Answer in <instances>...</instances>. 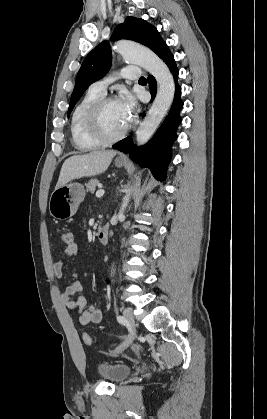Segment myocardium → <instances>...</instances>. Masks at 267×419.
<instances>
[{"mask_svg":"<svg viewBox=\"0 0 267 419\" xmlns=\"http://www.w3.org/2000/svg\"><path fill=\"white\" fill-rule=\"evenodd\" d=\"M115 101H118L115 96H103L94 102L87 112V130L89 134L101 144H110L121 140L130 129V123H128L119 133L115 135H108L104 131L101 122L102 113L108 104Z\"/></svg>","mask_w":267,"mask_h":419,"instance_id":"f54148a6","label":"myocardium"}]
</instances>
